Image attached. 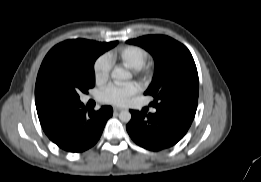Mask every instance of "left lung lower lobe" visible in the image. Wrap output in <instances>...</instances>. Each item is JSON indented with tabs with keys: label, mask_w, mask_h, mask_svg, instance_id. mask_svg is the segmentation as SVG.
Wrapping results in <instances>:
<instances>
[{
	"label": "left lung lower lobe",
	"mask_w": 261,
	"mask_h": 182,
	"mask_svg": "<svg viewBox=\"0 0 261 182\" xmlns=\"http://www.w3.org/2000/svg\"><path fill=\"white\" fill-rule=\"evenodd\" d=\"M126 129L139 146L159 151L176 144L188 131L195 113L189 109L157 110L148 114L131 110Z\"/></svg>",
	"instance_id": "obj_1"
}]
</instances>
